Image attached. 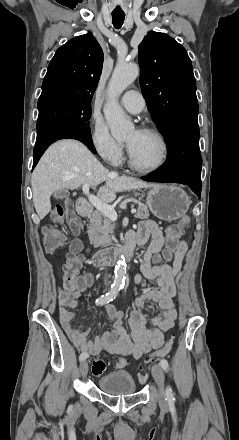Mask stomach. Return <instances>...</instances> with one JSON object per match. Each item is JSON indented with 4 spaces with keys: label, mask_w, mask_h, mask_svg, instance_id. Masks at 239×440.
Returning a JSON list of instances; mask_svg holds the SVG:
<instances>
[{
    "label": "stomach",
    "mask_w": 239,
    "mask_h": 440,
    "mask_svg": "<svg viewBox=\"0 0 239 440\" xmlns=\"http://www.w3.org/2000/svg\"><path fill=\"white\" fill-rule=\"evenodd\" d=\"M146 204L156 218L173 222L188 212L191 202L186 192L175 184H157L148 192Z\"/></svg>",
    "instance_id": "stomach-1"
}]
</instances>
